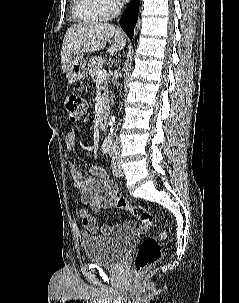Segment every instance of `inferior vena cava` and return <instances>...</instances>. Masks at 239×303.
<instances>
[{"label": "inferior vena cava", "instance_id": "1", "mask_svg": "<svg viewBox=\"0 0 239 303\" xmlns=\"http://www.w3.org/2000/svg\"><path fill=\"white\" fill-rule=\"evenodd\" d=\"M112 148H113V149L117 148V142H114V143H113Z\"/></svg>", "mask_w": 239, "mask_h": 303}]
</instances>
